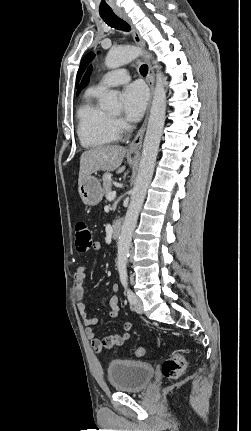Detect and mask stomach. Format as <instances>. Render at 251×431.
I'll return each instance as SVG.
<instances>
[{
	"label": "stomach",
	"instance_id": "0dacf381",
	"mask_svg": "<svg viewBox=\"0 0 251 431\" xmlns=\"http://www.w3.org/2000/svg\"><path fill=\"white\" fill-rule=\"evenodd\" d=\"M79 194L85 205H97L103 197V190L100 180L94 176H89L79 185Z\"/></svg>",
	"mask_w": 251,
	"mask_h": 431
}]
</instances>
